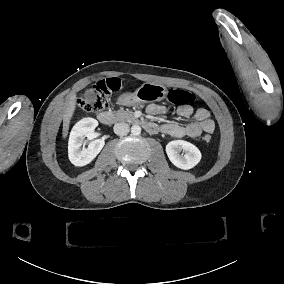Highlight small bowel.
Here are the masks:
<instances>
[{
  "instance_id": "small-bowel-1",
  "label": "small bowel",
  "mask_w": 284,
  "mask_h": 284,
  "mask_svg": "<svg viewBox=\"0 0 284 284\" xmlns=\"http://www.w3.org/2000/svg\"><path fill=\"white\" fill-rule=\"evenodd\" d=\"M146 110L150 115H159L167 112V109L159 104H150ZM176 115L179 118L192 117L194 121L188 124L168 122L161 125L155 122H146L145 129L150 133L161 131L174 138H195L202 133L212 134L215 130V122L211 119L210 112L206 108H198L194 111L191 106L184 105L177 108Z\"/></svg>"
}]
</instances>
